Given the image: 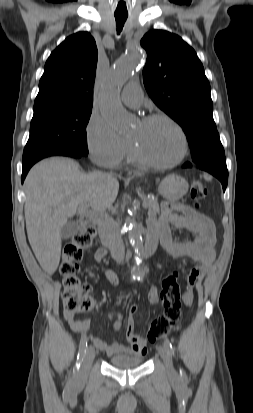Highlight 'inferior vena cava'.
Listing matches in <instances>:
<instances>
[{
	"label": "inferior vena cava",
	"mask_w": 253,
	"mask_h": 413,
	"mask_svg": "<svg viewBox=\"0 0 253 413\" xmlns=\"http://www.w3.org/2000/svg\"><path fill=\"white\" fill-rule=\"evenodd\" d=\"M98 232L102 243L109 248L117 262H120L124 256L125 247L114 220L106 215L101 216L98 222Z\"/></svg>",
	"instance_id": "obj_1"
}]
</instances>
